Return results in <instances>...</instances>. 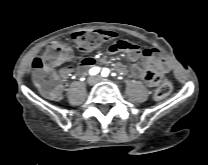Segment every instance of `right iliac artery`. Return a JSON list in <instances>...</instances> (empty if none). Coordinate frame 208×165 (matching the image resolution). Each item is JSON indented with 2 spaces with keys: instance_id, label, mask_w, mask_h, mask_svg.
<instances>
[{
  "instance_id": "82829eb1",
  "label": "right iliac artery",
  "mask_w": 208,
  "mask_h": 165,
  "mask_svg": "<svg viewBox=\"0 0 208 165\" xmlns=\"http://www.w3.org/2000/svg\"><path fill=\"white\" fill-rule=\"evenodd\" d=\"M100 71L99 67H93L90 69V74L91 75H96Z\"/></svg>"
}]
</instances>
